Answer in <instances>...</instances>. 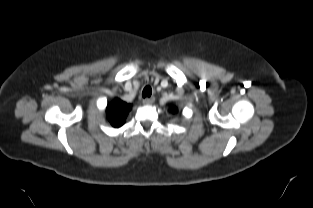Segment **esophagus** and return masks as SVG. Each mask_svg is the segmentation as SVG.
Returning a JSON list of instances; mask_svg holds the SVG:
<instances>
[{
    "mask_svg": "<svg viewBox=\"0 0 313 208\" xmlns=\"http://www.w3.org/2000/svg\"><path fill=\"white\" fill-rule=\"evenodd\" d=\"M154 101H155V98H154V97L145 98V99L143 100V104H145V105H151V104L154 103Z\"/></svg>",
    "mask_w": 313,
    "mask_h": 208,
    "instance_id": "esophagus-1",
    "label": "esophagus"
}]
</instances>
